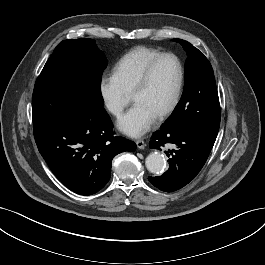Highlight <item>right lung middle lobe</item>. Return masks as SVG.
Instances as JSON below:
<instances>
[{"label": "right lung middle lobe", "instance_id": "obj_1", "mask_svg": "<svg viewBox=\"0 0 265 265\" xmlns=\"http://www.w3.org/2000/svg\"><path fill=\"white\" fill-rule=\"evenodd\" d=\"M106 59L92 39H68L57 45L35 83L33 128L60 116L75 102L103 105L101 77Z\"/></svg>", "mask_w": 265, "mask_h": 265}]
</instances>
